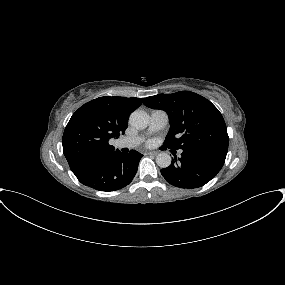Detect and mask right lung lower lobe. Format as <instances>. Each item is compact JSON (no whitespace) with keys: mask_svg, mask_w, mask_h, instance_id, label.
Segmentation results:
<instances>
[{"mask_svg":"<svg viewBox=\"0 0 285 285\" xmlns=\"http://www.w3.org/2000/svg\"><path fill=\"white\" fill-rule=\"evenodd\" d=\"M142 156L135 150L128 154L116 150L86 162L72 172L86 186L99 191H115L130 184Z\"/></svg>","mask_w":285,"mask_h":285,"instance_id":"1","label":"right lung lower lobe"}]
</instances>
